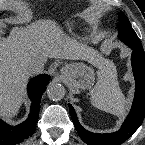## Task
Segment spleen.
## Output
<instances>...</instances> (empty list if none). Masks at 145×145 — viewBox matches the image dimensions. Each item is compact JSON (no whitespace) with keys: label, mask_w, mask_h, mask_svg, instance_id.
<instances>
[{"label":"spleen","mask_w":145,"mask_h":145,"mask_svg":"<svg viewBox=\"0 0 145 145\" xmlns=\"http://www.w3.org/2000/svg\"><path fill=\"white\" fill-rule=\"evenodd\" d=\"M91 104L107 113L122 116L126 100L119 87L115 68H106L98 74L96 85L90 90Z\"/></svg>","instance_id":"spleen-1"}]
</instances>
